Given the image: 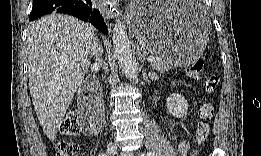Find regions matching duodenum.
<instances>
[{
    "label": "duodenum",
    "instance_id": "1",
    "mask_svg": "<svg viewBox=\"0 0 261 156\" xmlns=\"http://www.w3.org/2000/svg\"><path fill=\"white\" fill-rule=\"evenodd\" d=\"M80 115L84 121L100 125L102 102L99 83L96 79L86 82L79 99Z\"/></svg>",
    "mask_w": 261,
    "mask_h": 156
}]
</instances>
